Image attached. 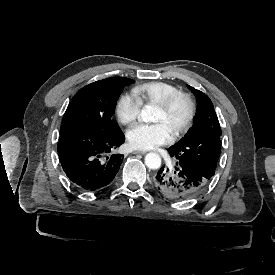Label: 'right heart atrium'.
Instances as JSON below:
<instances>
[{
	"label": "right heart atrium",
	"instance_id": "1",
	"mask_svg": "<svg viewBox=\"0 0 275 275\" xmlns=\"http://www.w3.org/2000/svg\"><path fill=\"white\" fill-rule=\"evenodd\" d=\"M142 101L134 93L122 94L116 104V113L121 123L132 124L138 117Z\"/></svg>",
	"mask_w": 275,
	"mask_h": 275
}]
</instances>
